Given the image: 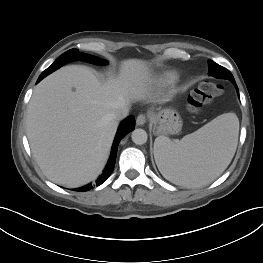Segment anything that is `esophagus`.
I'll use <instances>...</instances> for the list:
<instances>
[{
  "label": "esophagus",
  "instance_id": "1",
  "mask_svg": "<svg viewBox=\"0 0 263 263\" xmlns=\"http://www.w3.org/2000/svg\"><path fill=\"white\" fill-rule=\"evenodd\" d=\"M146 121H147L146 115L145 114H139L137 116V119H136V124L138 126H142V125H144L146 123Z\"/></svg>",
  "mask_w": 263,
  "mask_h": 263
}]
</instances>
